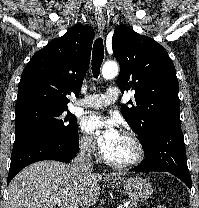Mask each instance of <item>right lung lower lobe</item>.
I'll use <instances>...</instances> for the list:
<instances>
[{
  "label": "right lung lower lobe",
  "mask_w": 199,
  "mask_h": 208,
  "mask_svg": "<svg viewBox=\"0 0 199 208\" xmlns=\"http://www.w3.org/2000/svg\"><path fill=\"white\" fill-rule=\"evenodd\" d=\"M78 149V133L71 141L34 137L15 144L12 150L7 184L21 169L29 164L42 160L68 162L75 157Z\"/></svg>",
  "instance_id": "right-lung-lower-lobe-1"
}]
</instances>
